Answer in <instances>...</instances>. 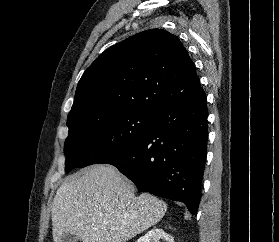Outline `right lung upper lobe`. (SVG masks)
<instances>
[{"mask_svg":"<svg viewBox=\"0 0 279 242\" xmlns=\"http://www.w3.org/2000/svg\"><path fill=\"white\" fill-rule=\"evenodd\" d=\"M203 92L194 63L178 37L150 29L110 47L87 68L68 121L122 109L156 113Z\"/></svg>","mask_w":279,"mask_h":242,"instance_id":"cb5924a9","label":"right lung upper lobe"}]
</instances>
